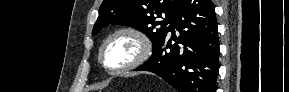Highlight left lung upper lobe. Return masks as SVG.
Here are the masks:
<instances>
[{
  "label": "left lung upper lobe",
  "mask_w": 289,
  "mask_h": 92,
  "mask_svg": "<svg viewBox=\"0 0 289 92\" xmlns=\"http://www.w3.org/2000/svg\"><path fill=\"white\" fill-rule=\"evenodd\" d=\"M180 2L181 0H103L92 35L109 24L130 26L150 38L154 53L164 40L167 25ZM162 14L166 15V19L157 21Z\"/></svg>",
  "instance_id": "1"
}]
</instances>
